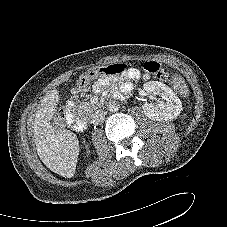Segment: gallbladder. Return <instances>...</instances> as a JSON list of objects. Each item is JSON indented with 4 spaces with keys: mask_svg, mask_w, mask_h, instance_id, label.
<instances>
[{
    "mask_svg": "<svg viewBox=\"0 0 227 227\" xmlns=\"http://www.w3.org/2000/svg\"><path fill=\"white\" fill-rule=\"evenodd\" d=\"M54 124L56 126H62L63 122H62L61 118H56L55 121H54Z\"/></svg>",
    "mask_w": 227,
    "mask_h": 227,
    "instance_id": "obj_1",
    "label": "gallbladder"
}]
</instances>
